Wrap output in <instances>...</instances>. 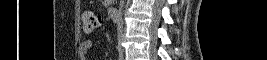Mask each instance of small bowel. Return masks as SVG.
I'll return each instance as SVG.
<instances>
[{
    "label": "small bowel",
    "mask_w": 267,
    "mask_h": 60,
    "mask_svg": "<svg viewBox=\"0 0 267 60\" xmlns=\"http://www.w3.org/2000/svg\"><path fill=\"white\" fill-rule=\"evenodd\" d=\"M92 43L91 41L87 40L83 43V49L85 52H89L91 50Z\"/></svg>",
    "instance_id": "obj_1"
}]
</instances>
